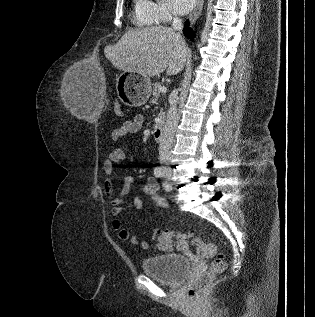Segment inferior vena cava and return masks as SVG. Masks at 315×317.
<instances>
[{
  "mask_svg": "<svg viewBox=\"0 0 315 317\" xmlns=\"http://www.w3.org/2000/svg\"><path fill=\"white\" fill-rule=\"evenodd\" d=\"M172 28L177 31L178 35L182 32L183 24L182 19L175 16L173 18ZM177 105L176 102L173 101V103L170 105V111L168 113L167 119H166V125L163 130V135L160 140L159 144V160L161 163H166L170 160L171 156V145L174 139L176 127H177ZM163 170H167L165 167H163Z\"/></svg>",
  "mask_w": 315,
  "mask_h": 317,
  "instance_id": "obj_1",
  "label": "inferior vena cava"
}]
</instances>
